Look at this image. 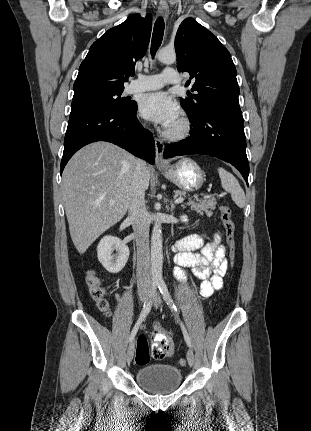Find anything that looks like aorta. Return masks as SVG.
<instances>
[{
	"label": "aorta",
	"instance_id": "obj_1",
	"mask_svg": "<svg viewBox=\"0 0 311 431\" xmlns=\"http://www.w3.org/2000/svg\"><path fill=\"white\" fill-rule=\"evenodd\" d=\"M157 60L162 64H174L176 62L175 50H159L156 54ZM163 237L160 221H155L151 235V273L152 281H163Z\"/></svg>",
	"mask_w": 311,
	"mask_h": 431
}]
</instances>
